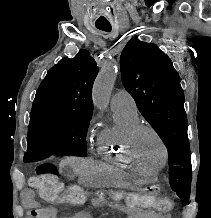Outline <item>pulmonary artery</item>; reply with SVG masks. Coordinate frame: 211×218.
Wrapping results in <instances>:
<instances>
[{"mask_svg": "<svg viewBox=\"0 0 211 218\" xmlns=\"http://www.w3.org/2000/svg\"><path fill=\"white\" fill-rule=\"evenodd\" d=\"M113 108H125L132 111H137V105L133 96L124 89L118 90L112 97Z\"/></svg>", "mask_w": 211, "mask_h": 218, "instance_id": "pulmonary-artery-1", "label": "pulmonary artery"}]
</instances>
